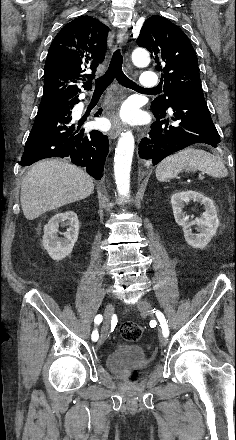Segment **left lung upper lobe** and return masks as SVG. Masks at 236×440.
I'll return each instance as SVG.
<instances>
[{
  "instance_id": "left-lung-upper-lobe-1",
  "label": "left lung upper lobe",
  "mask_w": 236,
  "mask_h": 440,
  "mask_svg": "<svg viewBox=\"0 0 236 440\" xmlns=\"http://www.w3.org/2000/svg\"><path fill=\"white\" fill-rule=\"evenodd\" d=\"M137 44L151 53L157 70L162 72L164 95L152 102L153 112H166L177 96L202 90L195 50L177 25L153 15L144 22Z\"/></svg>"
}]
</instances>
